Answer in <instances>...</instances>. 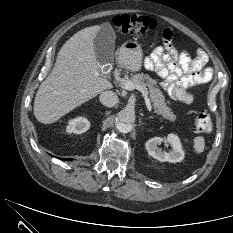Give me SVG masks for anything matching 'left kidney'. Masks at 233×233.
Returning a JSON list of instances; mask_svg holds the SVG:
<instances>
[{"mask_svg":"<svg viewBox=\"0 0 233 233\" xmlns=\"http://www.w3.org/2000/svg\"><path fill=\"white\" fill-rule=\"evenodd\" d=\"M162 142L171 146L172 149L170 152L162 151V149L158 147ZM145 146L148 154L161 162L167 161L176 163L182 161L184 158V151L180 139L175 134H169L167 138H151L146 142Z\"/></svg>","mask_w":233,"mask_h":233,"instance_id":"5707ae66","label":"left kidney"}]
</instances>
